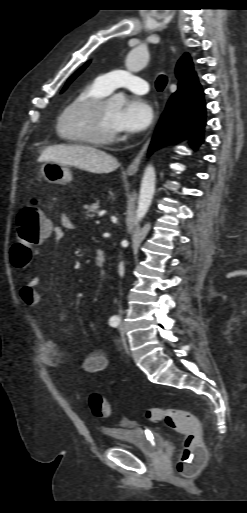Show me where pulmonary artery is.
I'll return each mask as SVG.
<instances>
[{"mask_svg": "<svg viewBox=\"0 0 247 513\" xmlns=\"http://www.w3.org/2000/svg\"><path fill=\"white\" fill-rule=\"evenodd\" d=\"M96 81L108 93L119 87L127 88L137 94H145L149 91L147 81L121 69L102 74Z\"/></svg>", "mask_w": 247, "mask_h": 513, "instance_id": "1", "label": "pulmonary artery"}]
</instances>
